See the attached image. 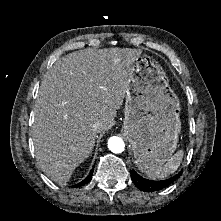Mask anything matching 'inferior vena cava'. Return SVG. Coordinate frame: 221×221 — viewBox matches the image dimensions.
Instances as JSON below:
<instances>
[{"mask_svg": "<svg viewBox=\"0 0 221 221\" xmlns=\"http://www.w3.org/2000/svg\"><path fill=\"white\" fill-rule=\"evenodd\" d=\"M101 126H102V124L99 121H97L93 124V129L95 131H98L101 128Z\"/></svg>", "mask_w": 221, "mask_h": 221, "instance_id": "inferior-vena-cava-1", "label": "inferior vena cava"}]
</instances>
